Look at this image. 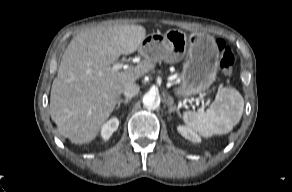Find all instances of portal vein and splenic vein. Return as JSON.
<instances>
[{
	"instance_id": "1",
	"label": "portal vein and splenic vein",
	"mask_w": 292,
	"mask_h": 192,
	"mask_svg": "<svg viewBox=\"0 0 292 192\" xmlns=\"http://www.w3.org/2000/svg\"><path fill=\"white\" fill-rule=\"evenodd\" d=\"M124 67V65L122 63H116L113 65V70L118 71L120 69H122Z\"/></svg>"
}]
</instances>
